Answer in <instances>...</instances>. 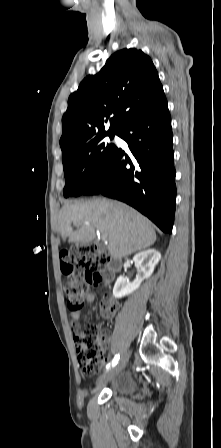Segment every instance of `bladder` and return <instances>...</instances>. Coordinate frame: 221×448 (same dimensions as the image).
Listing matches in <instances>:
<instances>
[{"label":"bladder","instance_id":"1","mask_svg":"<svg viewBox=\"0 0 221 448\" xmlns=\"http://www.w3.org/2000/svg\"><path fill=\"white\" fill-rule=\"evenodd\" d=\"M97 386H107V389L114 395L131 396L137 389V381L131 373H123L112 378H103V374L96 382Z\"/></svg>","mask_w":221,"mask_h":448}]
</instances>
